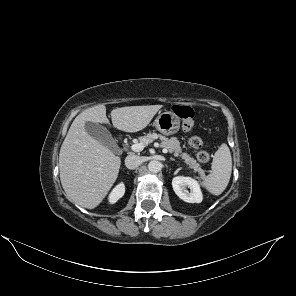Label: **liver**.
Masks as SVG:
<instances>
[{
    "instance_id": "1",
    "label": "liver",
    "mask_w": 296,
    "mask_h": 296,
    "mask_svg": "<svg viewBox=\"0 0 296 296\" xmlns=\"http://www.w3.org/2000/svg\"><path fill=\"white\" fill-rule=\"evenodd\" d=\"M162 105L128 106L111 111L112 124L125 132L144 129ZM109 124L103 104L81 112L71 124L59 154L62 187L69 201L94 209L115 183L121 158L91 137L85 123Z\"/></svg>"
}]
</instances>
